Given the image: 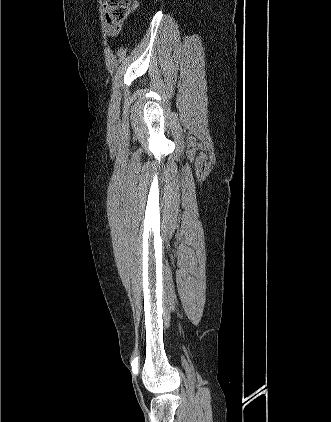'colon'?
Listing matches in <instances>:
<instances>
[{"instance_id":"colon-1","label":"colon","mask_w":331,"mask_h":422,"mask_svg":"<svg viewBox=\"0 0 331 422\" xmlns=\"http://www.w3.org/2000/svg\"><path fill=\"white\" fill-rule=\"evenodd\" d=\"M109 17L112 21L123 23L136 6L135 0H106Z\"/></svg>"}]
</instances>
